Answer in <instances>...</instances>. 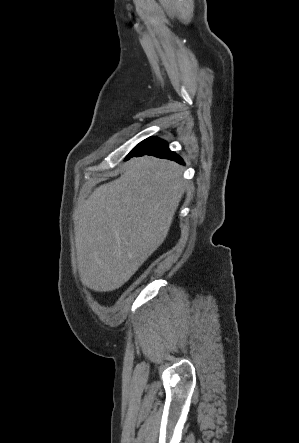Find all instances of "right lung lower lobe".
I'll list each match as a JSON object with an SVG mask.
<instances>
[{
  "label": "right lung lower lobe",
  "instance_id": "98d812e1",
  "mask_svg": "<svg viewBox=\"0 0 299 443\" xmlns=\"http://www.w3.org/2000/svg\"><path fill=\"white\" fill-rule=\"evenodd\" d=\"M143 155H152L159 158L175 160L176 162L183 164V160L169 150L167 143L156 137H150L140 142L131 150L125 160H128L130 157H140Z\"/></svg>",
  "mask_w": 299,
  "mask_h": 443
}]
</instances>
